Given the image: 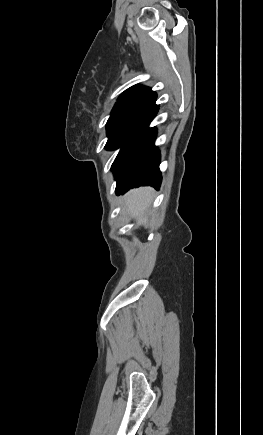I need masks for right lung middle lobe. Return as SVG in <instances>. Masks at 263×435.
I'll use <instances>...</instances> for the list:
<instances>
[{
	"label": "right lung middle lobe",
	"instance_id": "dd1d6c3e",
	"mask_svg": "<svg viewBox=\"0 0 263 435\" xmlns=\"http://www.w3.org/2000/svg\"><path fill=\"white\" fill-rule=\"evenodd\" d=\"M144 107L141 105L114 106L106 124L108 135L106 149L115 150L121 147L131 125Z\"/></svg>",
	"mask_w": 263,
	"mask_h": 435
}]
</instances>
